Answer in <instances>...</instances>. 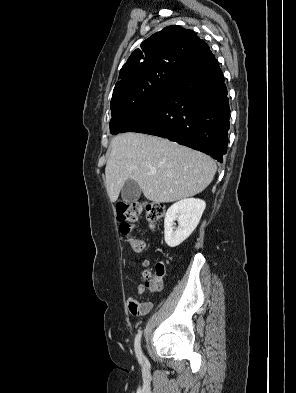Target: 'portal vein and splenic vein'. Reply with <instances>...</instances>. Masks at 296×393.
Listing matches in <instances>:
<instances>
[{
    "label": "portal vein and splenic vein",
    "mask_w": 296,
    "mask_h": 393,
    "mask_svg": "<svg viewBox=\"0 0 296 393\" xmlns=\"http://www.w3.org/2000/svg\"><path fill=\"white\" fill-rule=\"evenodd\" d=\"M151 174H152V175H155V172H152Z\"/></svg>",
    "instance_id": "obj_1"
}]
</instances>
